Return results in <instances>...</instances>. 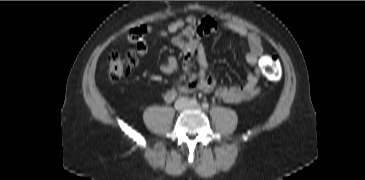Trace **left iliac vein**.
<instances>
[{"mask_svg": "<svg viewBox=\"0 0 365 180\" xmlns=\"http://www.w3.org/2000/svg\"><path fill=\"white\" fill-rule=\"evenodd\" d=\"M187 107L190 108V109H196V110H201L202 109V107L199 104L194 105V106L188 105Z\"/></svg>", "mask_w": 365, "mask_h": 180, "instance_id": "obj_1", "label": "left iliac vein"}]
</instances>
